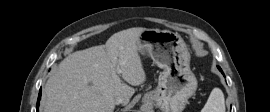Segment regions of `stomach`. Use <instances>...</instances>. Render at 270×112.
Wrapping results in <instances>:
<instances>
[{
  "label": "stomach",
  "instance_id": "1",
  "mask_svg": "<svg viewBox=\"0 0 270 112\" xmlns=\"http://www.w3.org/2000/svg\"><path fill=\"white\" fill-rule=\"evenodd\" d=\"M138 51L149 55L163 69L157 88L146 93L143 101L163 112H181L197 89L190 69L191 55L183 38L168 30L146 29L139 36Z\"/></svg>",
  "mask_w": 270,
  "mask_h": 112
}]
</instances>
